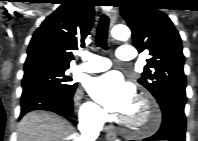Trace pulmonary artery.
<instances>
[{
	"instance_id": "pulmonary-artery-1",
	"label": "pulmonary artery",
	"mask_w": 198,
	"mask_h": 141,
	"mask_svg": "<svg viewBox=\"0 0 198 141\" xmlns=\"http://www.w3.org/2000/svg\"><path fill=\"white\" fill-rule=\"evenodd\" d=\"M116 56L118 59L122 61L129 62L134 59L135 50L131 46L124 45L118 49ZM84 58L87 59L88 62L76 66L75 71L94 73V72L105 71L111 67V61L106 57H101L94 54H88L85 55Z\"/></svg>"
}]
</instances>
